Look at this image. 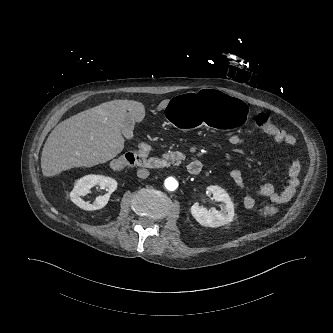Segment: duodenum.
<instances>
[{
  "instance_id": "duodenum-1",
  "label": "duodenum",
  "mask_w": 333,
  "mask_h": 333,
  "mask_svg": "<svg viewBox=\"0 0 333 333\" xmlns=\"http://www.w3.org/2000/svg\"><path fill=\"white\" fill-rule=\"evenodd\" d=\"M166 165L165 161L159 158H148L143 161V167L152 170H159L164 168ZM202 163L199 160H191L187 165V171L193 176H197L202 171Z\"/></svg>"
}]
</instances>
